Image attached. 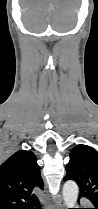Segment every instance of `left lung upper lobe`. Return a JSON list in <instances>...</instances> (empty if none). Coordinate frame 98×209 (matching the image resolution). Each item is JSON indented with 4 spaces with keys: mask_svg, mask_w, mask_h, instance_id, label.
<instances>
[{
    "mask_svg": "<svg viewBox=\"0 0 98 209\" xmlns=\"http://www.w3.org/2000/svg\"><path fill=\"white\" fill-rule=\"evenodd\" d=\"M64 181L74 180L80 188V197L89 199L98 209V152L87 146H75L66 165Z\"/></svg>",
    "mask_w": 98,
    "mask_h": 209,
    "instance_id": "5c2ea615",
    "label": "left lung upper lobe"
}]
</instances>
